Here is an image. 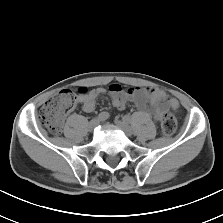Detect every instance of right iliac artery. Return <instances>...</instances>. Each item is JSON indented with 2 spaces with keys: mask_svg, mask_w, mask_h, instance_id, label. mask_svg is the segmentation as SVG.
Returning <instances> with one entry per match:
<instances>
[{
  "mask_svg": "<svg viewBox=\"0 0 223 223\" xmlns=\"http://www.w3.org/2000/svg\"><path fill=\"white\" fill-rule=\"evenodd\" d=\"M109 117V113H107V112H102V113H100L97 117H96V119L99 121H105L107 118Z\"/></svg>",
  "mask_w": 223,
  "mask_h": 223,
  "instance_id": "obj_1",
  "label": "right iliac artery"
}]
</instances>
